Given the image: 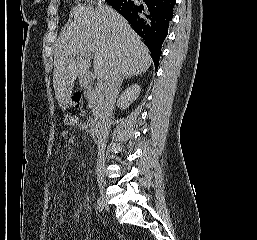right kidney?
Returning <instances> with one entry per match:
<instances>
[{"label":"right kidney","mask_w":257,"mask_h":240,"mask_svg":"<svg viewBox=\"0 0 257 240\" xmlns=\"http://www.w3.org/2000/svg\"><path fill=\"white\" fill-rule=\"evenodd\" d=\"M141 87L138 84L129 86L119 97L117 105L120 109H126L137 99L140 94Z\"/></svg>","instance_id":"1"}]
</instances>
